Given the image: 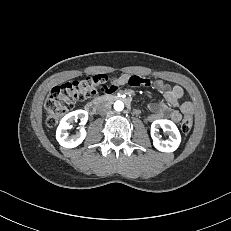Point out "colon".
<instances>
[{
    "label": "colon",
    "instance_id": "1",
    "mask_svg": "<svg viewBox=\"0 0 231 231\" xmlns=\"http://www.w3.org/2000/svg\"><path fill=\"white\" fill-rule=\"evenodd\" d=\"M112 81L111 77L100 74L55 87L46 102L48 126H56L61 118L71 111L78 102L102 94L101 90L111 85ZM192 123V116L185 115L181 122V130L187 133L191 129Z\"/></svg>",
    "mask_w": 231,
    "mask_h": 231
}]
</instances>
